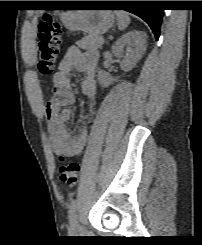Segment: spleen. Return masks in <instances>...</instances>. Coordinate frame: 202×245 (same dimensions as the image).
Listing matches in <instances>:
<instances>
[{
  "label": "spleen",
  "instance_id": "spleen-1",
  "mask_svg": "<svg viewBox=\"0 0 202 245\" xmlns=\"http://www.w3.org/2000/svg\"><path fill=\"white\" fill-rule=\"evenodd\" d=\"M119 30H124L130 24V18L124 11H115Z\"/></svg>",
  "mask_w": 202,
  "mask_h": 245
}]
</instances>
